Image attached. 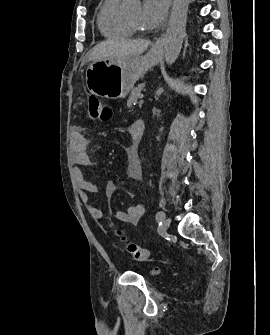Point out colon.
<instances>
[{
	"label": "colon",
	"mask_w": 270,
	"mask_h": 335,
	"mask_svg": "<svg viewBox=\"0 0 270 335\" xmlns=\"http://www.w3.org/2000/svg\"><path fill=\"white\" fill-rule=\"evenodd\" d=\"M87 114L93 121L98 120L99 122H107L111 115V110L104 104L103 100L96 96H91L89 98ZM113 228L121 242L124 244L126 251L133 259L137 261H145L149 258V252L146 248L128 241L120 228L116 226H113Z\"/></svg>",
	"instance_id": "colon-1"
}]
</instances>
